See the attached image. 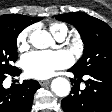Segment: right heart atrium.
I'll return each instance as SVG.
<instances>
[{
  "instance_id": "d8ad5b80",
  "label": "right heart atrium",
  "mask_w": 112,
  "mask_h": 112,
  "mask_svg": "<svg viewBox=\"0 0 112 112\" xmlns=\"http://www.w3.org/2000/svg\"><path fill=\"white\" fill-rule=\"evenodd\" d=\"M32 29L30 27L23 29L17 36L16 44L19 51H25L29 47V39Z\"/></svg>"
}]
</instances>
